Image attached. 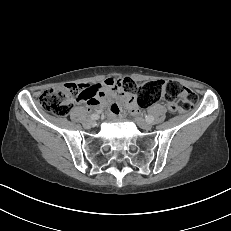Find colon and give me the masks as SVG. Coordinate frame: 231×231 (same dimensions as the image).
<instances>
[{
    "instance_id": "5ec220e1",
    "label": "colon",
    "mask_w": 231,
    "mask_h": 231,
    "mask_svg": "<svg viewBox=\"0 0 231 231\" xmlns=\"http://www.w3.org/2000/svg\"><path fill=\"white\" fill-rule=\"evenodd\" d=\"M117 88L129 95H136L140 107H148L164 99L172 112H183L193 108L197 95L176 81L155 80L141 85L131 79H123ZM88 94L76 84L48 89L39 97L40 106L55 116H66L74 103Z\"/></svg>"
}]
</instances>
